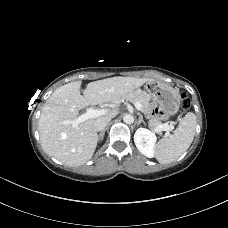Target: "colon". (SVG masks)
<instances>
[{
	"instance_id": "obj_1",
	"label": "colon",
	"mask_w": 228,
	"mask_h": 228,
	"mask_svg": "<svg viewBox=\"0 0 228 228\" xmlns=\"http://www.w3.org/2000/svg\"><path fill=\"white\" fill-rule=\"evenodd\" d=\"M190 107V99L187 94L183 93L181 95V108L183 111L188 110Z\"/></svg>"
}]
</instances>
